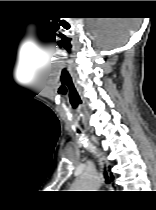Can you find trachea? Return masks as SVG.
Wrapping results in <instances>:
<instances>
[{"label": "trachea", "mask_w": 156, "mask_h": 210, "mask_svg": "<svg viewBox=\"0 0 156 210\" xmlns=\"http://www.w3.org/2000/svg\"><path fill=\"white\" fill-rule=\"evenodd\" d=\"M104 177H105V181H106V183L108 184V183H109V180H108V176H107V174H106V173L104 174Z\"/></svg>", "instance_id": "trachea-1"}]
</instances>
